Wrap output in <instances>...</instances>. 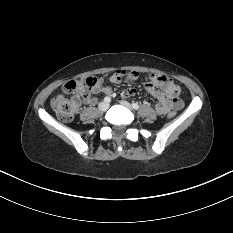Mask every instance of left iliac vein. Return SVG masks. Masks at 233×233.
<instances>
[{
	"label": "left iliac vein",
	"mask_w": 233,
	"mask_h": 233,
	"mask_svg": "<svg viewBox=\"0 0 233 233\" xmlns=\"http://www.w3.org/2000/svg\"><path fill=\"white\" fill-rule=\"evenodd\" d=\"M120 103H121L123 106H125L126 108L132 110V106H131V104H130L129 102H127V101H121Z\"/></svg>",
	"instance_id": "1"
}]
</instances>
